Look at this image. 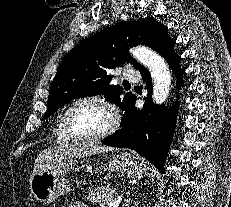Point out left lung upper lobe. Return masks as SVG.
I'll list each match as a JSON object with an SVG mask.
<instances>
[{
  "instance_id": "1",
  "label": "left lung upper lobe",
  "mask_w": 231,
  "mask_h": 207,
  "mask_svg": "<svg viewBox=\"0 0 231 207\" xmlns=\"http://www.w3.org/2000/svg\"><path fill=\"white\" fill-rule=\"evenodd\" d=\"M172 42L167 27L154 18L125 21L82 41L60 63L43 119L72 99L94 95H103L126 112L135 96L127 93L122 99L123 89L109 84L107 71L125 63L140 71L144 68L128 54L129 46L142 44L161 54Z\"/></svg>"
}]
</instances>
